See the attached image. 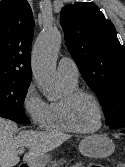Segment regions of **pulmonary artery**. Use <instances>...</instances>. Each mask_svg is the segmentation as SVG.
Listing matches in <instances>:
<instances>
[{
  "label": "pulmonary artery",
  "instance_id": "1",
  "mask_svg": "<svg viewBox=\"0 0 125 167\" xmlns=\"http://www.w3.org/2000/svg\"><path fill=\"white\" fill-rule=\"evenodd\" d=\"M57 74L60 80L69 82H77L79 78V70L72 58L62 57L57 66Z\"/></svg>",
  "mask_w": 125,
  "mask_h": 167
}]
</instances>
